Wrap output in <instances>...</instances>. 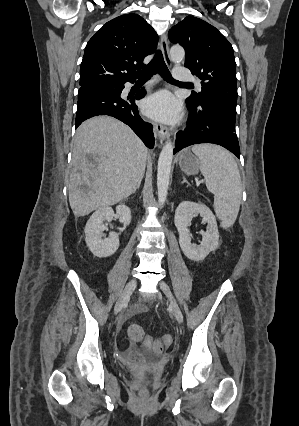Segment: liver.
<instances>
[{
	"instance_id": "6515ba94",
	"label": "liver",
	"mask_w": 299,
	"mask_h": 426,
	"mask_svg": "<svg viewBox=\"0 0 299 426\" xmlns=\"http://www.w3.org/2000/svg\"><path fill=\"white\" fill-rule=\"evenodd\" d=\"M147 154L143 142L117 119L97 116L83 122L73 139L68 185L74 216L130 196L144 176Z\"/></svg>"
}]
</instances>
